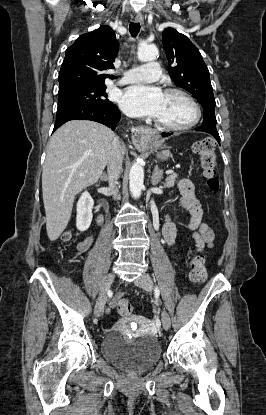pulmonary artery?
Instances as JSON below:
<instances>
[{"label": "pulmonary artery", "instance_id": "pulmonary-artery-1", "mask_svg": "<svg viewBox=\"0 0 266 415\" xmlns=\"http://www.w3.org/2000/svg\"><path fill=\"white\" fill-rule=\"evenodd\" d=\"M160 65L157 62H149L141 66L131 68L124 72L120 84H132L139 82H152L160 78Z\"/></svg>", "mask_w": 266, "mask_h": 415}]
</instances>
